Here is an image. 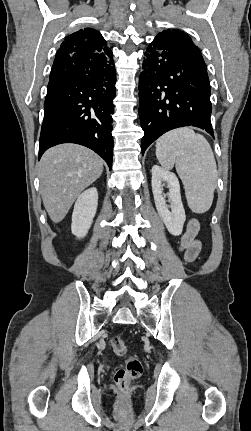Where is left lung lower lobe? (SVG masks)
Returning a JSON list of instances; mask_svg holds the SVG:
<instances>
[{"instance_id":"1","label":"left lung lower lobe","mask_w":251,"mask_h":431,"mask_svg":"<svg viewBox=\"0 0 251 431\" xmlns=\"http://www.w3.org/2000/svg\"><path fill=\"white\" fill-rule=\"evenodd\" d=\"M141 149L165 132L195 126L214 137L210 83L200 50L185 34L159 33L149 44L139 82Z\"/></svg>"}]
</instances>
